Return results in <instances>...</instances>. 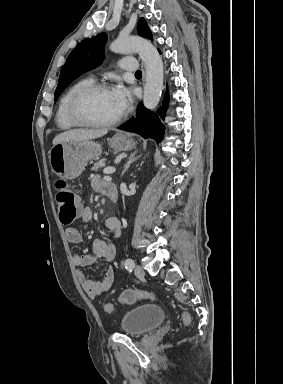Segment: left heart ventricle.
<instances>
[{"instance_id":"left-heart-ventricle-1","label":"left heart ventricle","mask_w":283,"mask_h":384,"mask_svg":"<svg viewBox=\"0 0 283 384\" xmlns=\"http://www.w3.org/2000/svg\"><path fill=\"white\" fill-rule=\"evenodd\" d=\"M120 113L110 89L91 94L82 101L79 107L80 117L89 122H107L116 118Z\"/></svg>"}]
</instances>
